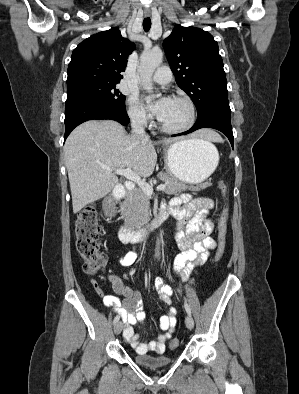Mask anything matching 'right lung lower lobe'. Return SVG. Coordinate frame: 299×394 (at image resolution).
I'll return each mask as SVG.
<instances>
[{"label": "right lung lower lobe", "mask_w": 299, "mask_h": 394, "mask_svg": "<svg viewBox=\"0 0 299 394\" xmlns=\"http://www.w3.org/2000/svg\"><path fill=\"white\" fill-rule=\"evenodd\" d=\"M115 120L122 125L129 123L126 109L118 110L111 105L97 99H75L66 101L65 104V135L64 140L70 132L79 124L88 120Z\"/></svg>", "instance_id": "1"}]
</instances>
